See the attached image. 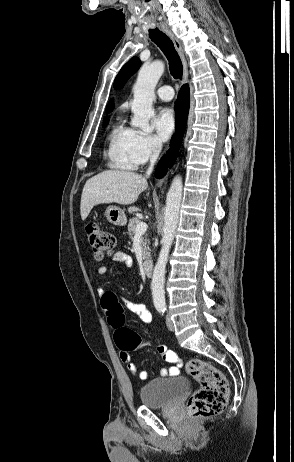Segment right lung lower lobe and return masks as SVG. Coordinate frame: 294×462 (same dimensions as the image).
Returning a JSON list of instances; mask_svg holds the SVG:
<instances>
[{
	"mask_svg": "<svg viewBox=\"0 0 294 462\" xmlns=\"http://www.w3.org/2000/svg\"><path fill=\"white\" fill-rule=\"evenodd\" d=\"M176 109V134L173 136L171 141V148L167 152V156H164L157 166L155 176L157 178L162 177L167 172L168 165L171 166L176 159L177 151L180 146L182 135L184 132L187 115L189 111V87L184 85L175 102Z\"/></svg>",
	"mask_w": 294,
	"mask_h": 462,
	"instance_id": "98d812e1",
	"label": "right lung lower lobe"
}]
</instances>
